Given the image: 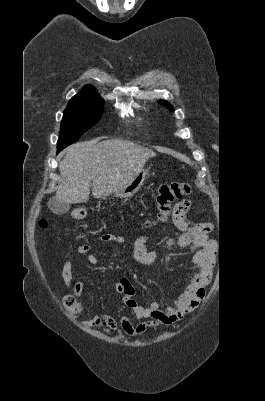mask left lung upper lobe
<instances>
[{"label": "left lung upper lobe", "mask_w": 265, "mask_h": 401, "mask_svg": "<svg viewBox=\"0 0 265 401\" xmlns=\"http://www.w3.org/2000/svg\"><path fill=\"white\" fill-rule=\"evenodd\" d=\"M160 104H163L164 106L168 107L171 111H174L173 107L171 104H169L167 101L164 100H159Z\"/></svg>", "instance_id": "left-lung-upper-lobe-1"}]
</instances>
